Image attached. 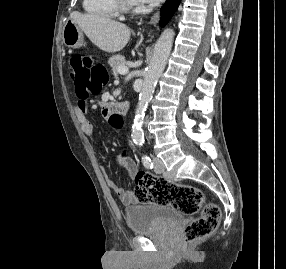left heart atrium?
<instances>
[{"label":"left heart atrium","mask_w":286,"mask_h":269,"mask_svg":"<svg viewBox=\"0 0 286 269\" xmlns=\"http://www.w3.org/2000/svg\"><path fill=\"white\" fill-rule=\"evenodd\" d=\"M134 1L147 5H157L162 0H134Z\"/></svg>","instance_id":"left-heart-atrium-1"}]
</instances>
